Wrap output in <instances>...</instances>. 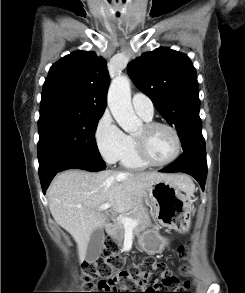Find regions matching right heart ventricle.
Masks as SVG:
<instances>
[{"mask_svg": "<svg viewBox=\"0 0 245 293\" xmlns=\"http://www.w3.org/2000/svg\"><path fill=\"white\" fill-rule=\"evenodd\" d=\"M146 121H150V120H146ZM121 163L125 168L131 169V170H140L148 166L145 163H143L138 157L136 152V147H135V141L131 137H130V147L121 158Z\"/></svg>", "mask_w": 245, "mask_h": 293, "instance_id": "e07e8e85", "label": "right heart ventricle"}]
</instances>
